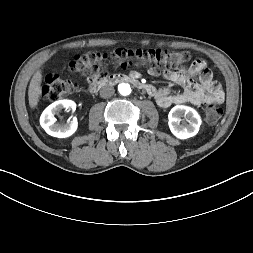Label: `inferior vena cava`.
<instances>
[{"label":"inferior vena cava","mask_w":253,"mask_h":253,"mask_svg":"<svg viewBox=\"0 0 253 253\" xmlns=\"http://www.w3.org/2000/svg\"><path fill=\"white\" fill-rule=\"evenodd\" d=\"M114 92H115L114 87L107 85L100 89V96L102 98H109L114 94Z\"/></svg>","instance_id":"obj_1"}]
</instances>
